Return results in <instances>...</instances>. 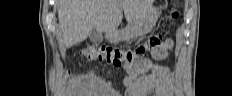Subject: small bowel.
Wrapping results in <instances>:
<instances>
[{"label": "small bowel", "instance_id": "c3829d8e", "mask_svg": "<svg viewBox=\"0 0 232 96\" xmlns=\"http://www.w3.org/2000/svg\"><path fill=\"white\" fill-rule=\"evenodd\" d=\"M172 42L167 41L163 44L165 50L171 49ZM152 53L153 49L150 48ZM144 53V49L142 51ZM148 62H140L135 64L134 71L141 72L138 68L141 65H147ZM174 73L166 68H158L156 73L141 75L139 77L129 76L125 83L128 86L129 96H144L147 94L171 96L175 92L172 83L174 81Z\"/></svg>", "mask_w": 232, "mask_h": 96}]
</instances>
